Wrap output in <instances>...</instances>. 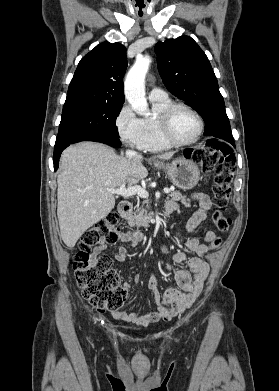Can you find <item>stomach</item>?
Segmentation results:
<instances>
[{
	"label": "stomach",
	"mask_w": 279,
	"mask_h": 391,
	"mask_svg": "<svg viewBox=\"0 0 279 391\" xmlns=\"http://www.w3.org/2000/svg\"><path fill=\"white\" fill-rule=\"evenodd\" d=\"M156 168L165 171L171 182L182 190L195 187L200 178L198 166L186 158H178L172 162H156Z\"/></svg>",
	"instance_id": "0dacf381"
}]
</instances>
